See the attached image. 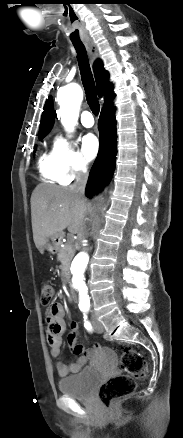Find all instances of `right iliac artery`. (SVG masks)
Segmentation results:
<instances>
[{
	"label": "right iliac artery",
	"instance_id": "right-iliac-artery-1",
	"mask_svg": "<svg viewBox=\"0 0 183 438\" xmlns=\"http://www.w3.org/2000/svg\"><path fill=\"white\" fill-rule=\"evenodd\" d=\"M84 319H85V323H84L85 328H86L88 331L92 332V326H91L90 322L86 320V319H87V316H84Z\"/></svg>",
	"mask_w": 183,
	"mask_h": 438
}]
</instances>
